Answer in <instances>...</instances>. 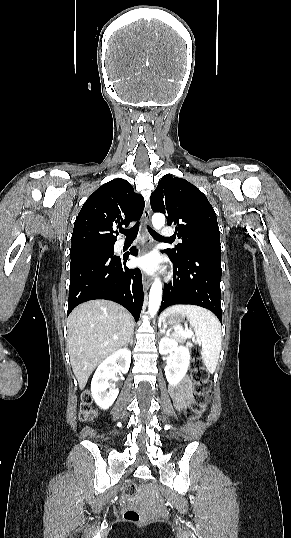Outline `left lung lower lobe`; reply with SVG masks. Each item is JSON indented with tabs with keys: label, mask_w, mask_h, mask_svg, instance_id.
Segmentation results:
<instances>
[{
	"label": "left lung lower lobe",
	"mask_w": 291,
	"mask_h": 538,
	"mask_svg": "<svg viewBox=\"0 0 291 538\" xmlns=\"http://www.w3.org/2000/svg\"><path fill=\"white\" fill-rule=\"evenodd\" d=\"M168 256L173 263V283L165 284L159 314L175 304H191L211 310L222 322L221 252L194 250L178 259Z\"/></svg>",
	"instance_id": "left-lung-lower-lobe-1"
}]
</instances>
